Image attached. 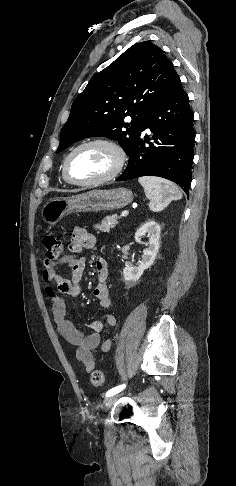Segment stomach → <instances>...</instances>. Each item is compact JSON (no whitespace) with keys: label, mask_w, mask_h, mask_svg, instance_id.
Instances as JSON below:
<instances>
[{"label":"stomach","mask_w":236,"mask_h":486,"mask_svg":"<svg viewBox=\"0 0 236 486\" xmlns=\"http://www.w3.org/2000/svg\"><path fill=\"white\" fill-rule=\"evenodd\" d=\"M132 200L133 193L126 188L91 190L69 198L49 199L41 210V218L44 223L54 226L71 213L121 209L129 205Z\"/></svg>","instance_id":"0dacf381"}]
</instances>
